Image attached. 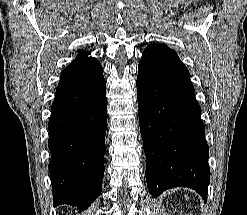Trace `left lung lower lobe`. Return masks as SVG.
<instances>
[{
	"instance_id": "obj_1",
	"label": "left lung lower lobe",
	"mask_w": 247,
	"mask_h": 215,
	"mask_svg": "<svg viewBox=\"0 0 247 215\" xmlns=\"http://www.w3.org/2000/svg\"><path fill=\"white\" fill-rule=\"evenodd\" d=\"M136 83L150 194L183 186L206 201L209 148L189 71L175 51L155 43L142 53Z\"/></svg>"
}]
</instances>
